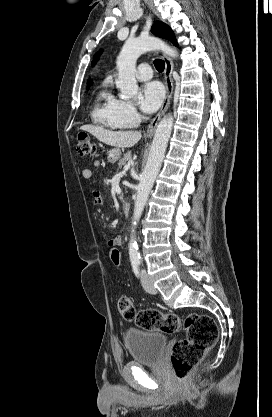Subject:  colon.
Here are the masks:
<instances>
[{"instance_id":"1","label":"colon","mask_w":272,"mask_h":417,"mask_svg":"<svg viewBox=\"0 0 272 417\" xmlns=\"http://www.w3.org/2000/svg\"><path fill=\"white\" fill-rule=\"evenodd\" d=\"M77 152L84 158H95L98 154L96 145L87 135H79ZM109 258L114 266H121L119 244H109ZM117 306L124 319L134 321L140 328L169 334L185 331L186 337L176 341L170 351V362L178 380L189 376L218 339L216 322L205 314L193 313L183 318L175 313L163 314L155 309L136 311L128 297H121Z\"/></svg>"}]
</instances>
